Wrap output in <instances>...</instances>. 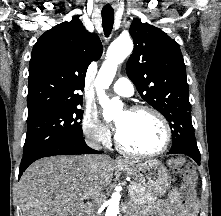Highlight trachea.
<instances>
[{"label": "trachea", "instance_id": "obj_1", "mask_svg": "<svg viewBox=\"0 0 221 216\" xmlns=\"http://www.w3.org/2000/svg\"><path fill=\"white\" fill-rule=\"evenodd\" d=\"M102 22H103V30L108 37L112 31L113 23H114V11L113 10H102Z\"/></svg>", "mask_w": 221, "mask_h": 216}]
</instances>
